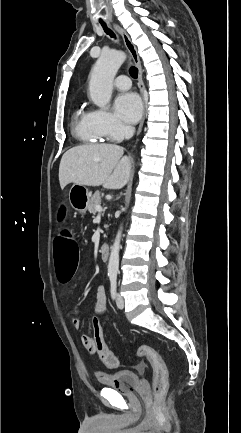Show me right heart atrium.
Masks as SVG:
<instances>
[{"label":"right heart atrium","mask_w":241,"mask_h":433,"mask_svg":"<svg viewBox=\"0 0 241 433\" xmlns=\"http://www.w3.org/2000/svg\"><path fill=\"white\" fill-rule=\"evenodd\" d=\"M94 120L98 130L110 140H116L128 131L126 126L106 110H95Z\"/></svg>","instance_id":"obj_1"}]
</instances>
